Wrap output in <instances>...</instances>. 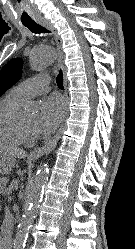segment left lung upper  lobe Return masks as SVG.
Listing matches in <instances>:
<instances>
[{
  "label": "left lung upper lobe",
  "instance_id": "left-lung-upper-lobe-1",
  "mask_svg": "<svg viewBox=\"0 0 135 249\" xmlns=\"http://www.w3.org/2000/svg\"><path fill=\"white\" fill-rule=\"evenodd\" d=\"M22 59L8 62L0 71V96L13 86L21 76Z\"/></svg>",
  "mask_w": 135,
  "mask_h": 249
}]
</instances>
